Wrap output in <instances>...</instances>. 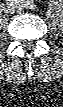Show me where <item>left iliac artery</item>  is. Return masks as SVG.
Instances as JSON below:
<instances>
[{
  "instance_id": "left-iliac-artery-1",
  "label": "left iliac artery",
  "mask_w": 63,
  "mask_h": 107,
  "mask_svg": "<svg viewBox=\"0 0 63 107\" xmlns=\"http://www.w3.org/2000/svg\"><path fill=\"white\" fill-rule=\"evenodd\" d=\"M20 3H22V5H24V7L30 8V9H35L36 5H34L31 1L26 0V1H19Z\"/></svg>"
}]
</instances>
